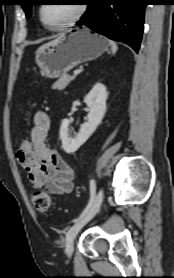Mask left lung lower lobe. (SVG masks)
Masks as SVG:
<instances>
[{
  "label": "left lung lower lobe",
  "instance_id": "0a47b994",
  "mask_svg": "<svg viewBox=\"0 0 174 278\" xmlns=\"http://www.w3.org/2000/svg\"><path fill=\"white\" fill-rule=\"evenodd\" d=\"M85 4L88 5L87 11L77 26L85 25L138 52L147 0H86Z\"/></svg>",
  "mask_w": 174,
  "mask_h": 278
}]
</instances>
